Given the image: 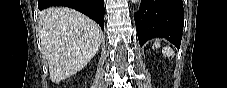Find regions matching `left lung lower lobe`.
<instances>
[{
  "label": "left lung lower lobe",
  "mask_w": 227,
  "mask_h": 88,
  "mask_svg": "<svg viewBox=\"0 0 227 88\" xmlns=\"http://www.w3.org/2000/svg\"><path fill=\"white\" fill-rule=\"evenodd\" d=\"M134 19L140 45L162 37L180 47L184 25L182 0H141Z\"/></svg>",
  "instance_id": "0a47b994"
}]
</instances>
